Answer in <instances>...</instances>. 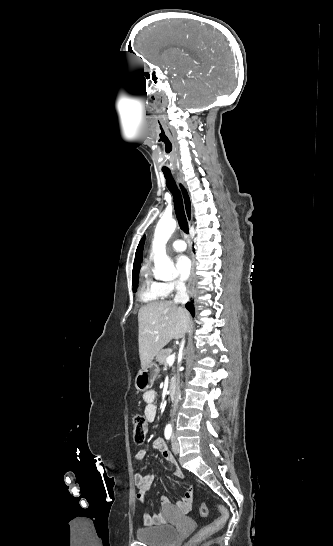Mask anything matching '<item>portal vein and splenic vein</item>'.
Returning <instances> with one entry per match:
<instances>
[{"instance_id": "obj_1", "label": "portal vein and splenic vein", "mask_w": 333, "mask_h": 546, "mask_svg": "<svg viewBox=\"0 0 333 546\" xmlns=\"http://www.w3.org/2000/svg\"><path fill=\"white\" fill-rule=\"evenodd\" d=\"M174 360H175V354H172V355H170V356H168V357L166 358V362H167L168 364H173V363H174Z\"/></svg>"}]
</instances>
